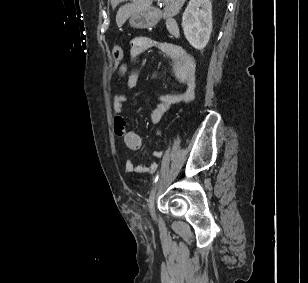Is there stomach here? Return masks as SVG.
<instances>
[{"label":"stomach","instance_id":"1","mask_svg":"<svg viewBox=\"0 0 308 283\" xmlns=\"http://www.w3.org/2000/svg\"><path fill=\"white\" fill-rule=\"evenodd\" d=\"M129 23L135 28H145L152 24V18L149 13H138L132 15L129 19Z\"/></svg>","mask_w":308,"mask_h":283}]
</instances>
